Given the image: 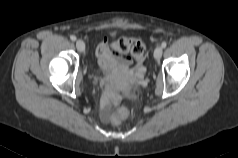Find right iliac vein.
Segmentation results:
<instances>
[{
    "instance_id": "63e3f726",
    "label": "right iliac vein",
    "mask_w": 238,
    "mask_h": 158,
    "mask_svg": "<svg viewBox=\"0 0 238 158\" xmlns=\"http://www.w3.org/2000/svg\"><path fill=\"white\" fill-rule=\"evenodd\" d=\"M76 48L78 51L83 52L85 50V43L82 40H77L76 41Z\"/></svg>"
}]
</instances>
